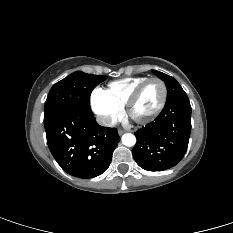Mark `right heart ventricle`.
Listing matches in <instances>:
<instances>
[{"label":"right heart ventricle","instance_id":"right-heart-ventricle-1","mask_svg":"<svg viewBox=\"0 0 233 233\" xmlns=\"http://www.w3.org/2000/svg\"><path fill=\"white\" fill-rule=\"evenodd\" d=\"M146 79L147 77H132L112 81L104 91L111 101L124 107L134 89Z\"/></svg>","mask_w":233,"mask_h":233}]
</instances>
